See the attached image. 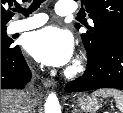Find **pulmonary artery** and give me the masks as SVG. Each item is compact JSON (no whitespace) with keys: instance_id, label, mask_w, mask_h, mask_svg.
<instances>
[{"instance_id":"1","label":"pulmonary artery","mask_w":123,"mask_h":113,"mask_svg":"<svg viewBox=\"0 0 123 113\" xmlns=\"http://www.w3.org/2000/svg\"><path fill=\"white\" fill-rule=\"evenodd\" d=\"M55 11L59 15H68L75 11V3L71 1H59L55 5ZM47 21V15L44 13H34L26 19L15 21L11 25V32H22L35 29L42 26Z\"/></svg>"}]
</instances>
